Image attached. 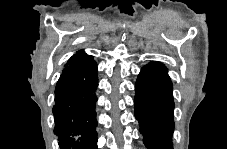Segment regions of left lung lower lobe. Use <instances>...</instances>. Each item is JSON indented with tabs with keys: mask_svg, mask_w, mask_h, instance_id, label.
Segmentation results:
<instances>
[{
	"mask_svg": "<svg viewBox=\"0 0 227 149\" xmlns=\"http://www.w3.org/2000/svg\"><path fill=\"white\" fill-rule=\"evenodd\" d=\"M135 117L148 149H173V85L160 62L145 65L135 83Z\"/></svg>",
	"mask_w": 227,
	"mask_h": 149,
	"instance_id": "1",
	"label": "left lung lower lobe"
}]
</instances>
